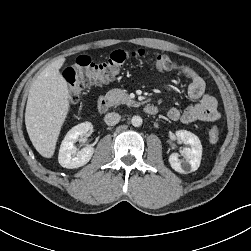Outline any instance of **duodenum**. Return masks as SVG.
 <instances>
[{
  "label": "duodenum",
  "mask_w": 251,
  "mask_h": 251,
  "mask_svg": "<svg viewBox=\"0 0 251 251\" xmlns=\"http://www.w3.org/2000/svg\"><path fill=\"white\" fill-rule=\"evenodd\" d=\"M97 107L101 112H107L111 108V101L106 96H100L97 101ZM146 114L155 115L158 112V108L152 104H146L143 107Z\"/></svg>",
  "instance_id": "1"
}]
</instances>
